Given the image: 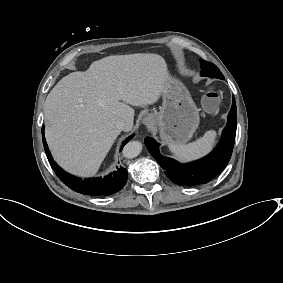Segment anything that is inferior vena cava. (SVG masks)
Wrapping results in <instances>:
<instances>
[{
	"label": "inferior vena cava",
	"instance_id": "1",
	"mask_svg": "<svg viewBox=\"0 0 283 283\" xmlns=\"http://www.w3.org/2000/svg\"><path fill=\"white\" fill-rule=\"evenodd\" d=\"M116 127L120 130L128 131L131 129V126H129L123 119L117 121Z\"/></svg>",
	"mask_w": 283,
	"mask_h": 283
}]
</instances>
